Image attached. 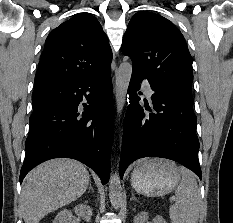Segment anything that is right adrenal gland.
<instances>
[{
	"instance_id": "2a0ac1e0",
	"label": "right adrenal gland",
	"mask_w": 233,
	"mask_h": 223,
	"mask_svg": "<svg viewBox=\"0 0 233 223\" xmlns=\"http://www.w3.org/2000/svg\"><path fill=\"white\" fill-rule=\"evenodd\" d=\"M88 191H94V189H93V187H92V181H91V179H90V185H89Z\"/></svg>"
}]
</instances>
